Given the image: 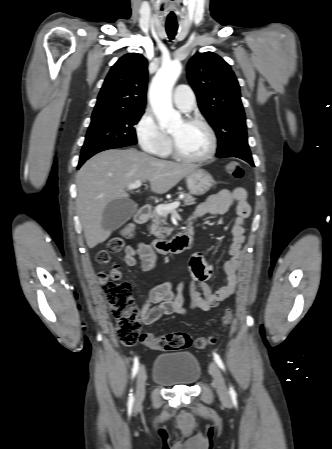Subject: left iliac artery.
<instances>
[{"mask_svg":"<svg viewBox=\"0 0 332 449\" xmlns=\"http://www.w3.org/2000/svg\"><path fill=\"white\" fill-rule=\"evenodd\" d=\"M213 356H214V360H215V362L217 363V365H218L222 370H225L224 364H223V362H222L220 356H219L217 353H215V352H213ZM229 393H230V395H231L232 397H235V396H236V392H235V390H234V388H233L232 386H230V388H229Z\"/></svg>","mask_w":332,"mask_h":449,"instance_id":"1","label":"left iliac artery"}]
</instances>
